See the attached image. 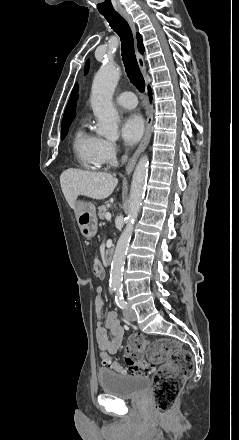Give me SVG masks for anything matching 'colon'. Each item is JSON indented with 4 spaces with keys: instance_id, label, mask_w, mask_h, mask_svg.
Wrapping results in <instances>:
<instances>
[{
    "instance_id": "obj_1",
    "label": "colon",
    "mask_w": 239,
    "mask_h": 440,
    "mask_svg": "<svg viewBox=\"0 0 239 440\" xmlns=\"http://www.w3.org/2000/svg\"><path fill=\"white\" fill-rule=\"evenodd\" d=\"M93 273L102 277L103 267L98 259L93 261ZM148 349L149 360L144 358ZM125 366L113 361L116 372L154 373L152 396L156 411L164 415L175 404L185 381L194 366L192 354L171 339H159L152 343L141 334H132L124 349ZM159 365L157 369L155 366Z\"/></svg>"
}]
</instances>
